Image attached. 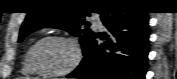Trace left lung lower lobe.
<instances>
[{"label":"left lung lower lobe","mask_w":177,"mask_h":79,"mask_svg":"<svg viewBox=\"0 0 177 79\" xmlns=\"http://www.w3.org/2000/svg\"><path fill=\"white\" fill-rule=\"evenodd\" d=\"M111 8L116 11L104 8L100 12L108 33L94 35L82 62L68 78L145 79L149 53L147 13L123 6ZM97 37L104 40L101 45Z\"/></svg>","instance_id":"obj_1"}]
</instances>
